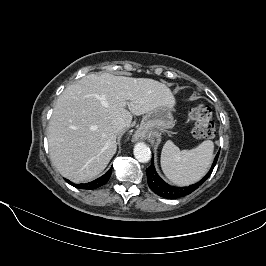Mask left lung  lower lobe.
Listing matches in <instances>:
<instances>
[{
  "instance_id": "obj_1",
  "label": "left lung lower lobe",
  "mask_w": 266,
  "mask_h": 266,
  "mask_svg": "<svg viewBox=\"0 0 266 266\" xmlns=\"http://www.w3.org/2000/svg\"><path fill=\"white\" fill-rule=\"evenodd\" d=\"M218 156H219V152L217 153L213 161V164L211 166V169L206 174V176L203 177L199 182L192 184L190 186H187V187H174V186H170L167 183H165L157 174L155 167L153 165V160H152L151 166L146 169L148 185L151 188V190L155 192L157 195L167 198V199H176V198L189 195L190 193L195 191L200 185H202L211 175L216 165V162L218 160Z\"/></svg>"
}]
</instances>
